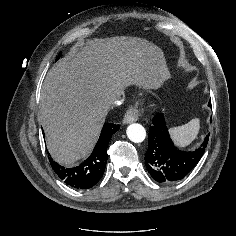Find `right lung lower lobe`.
<instances>
[{"label": "right lung lower lobe", "instance_id": "1", "mask_svg": "<svg viewBox=\"0 0 236 236\" xmlns=\"http://www.w3.org/2000/svg\"><path fill=\"white\" fill-rule=\"evenodd\" d=\"M118 130L119 125L106 123L89 158L76 167L65 168L49 158L53 170L60 179L73 188H91L100 180L104 173L108 158V143L112 135Z\"/></svg>", "mask_w": 236, "mask_h": 236}]
</instances>
